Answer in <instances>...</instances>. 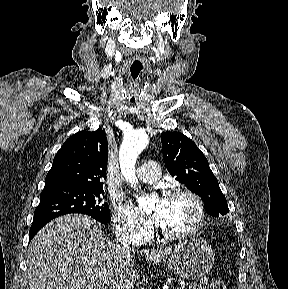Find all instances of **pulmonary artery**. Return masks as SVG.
<instances>
[{
  "instance_id": "obj_1",
  "label": "pulmonary artery",
  "mask_w": 288,
  "mask_h": 289,
  "mask_svg": "<svg viewBox=\"0 0 288 289\" xmlns=\"http://www.w3.org/2000/svg\"><path fill=\"white\" fill-rule=\"evenodd\" d=\"M160 175L159 165L152 160L145 162L137 170L138 179L144 183H153L159 179Z\"/></svg>"
}]
</instances>
